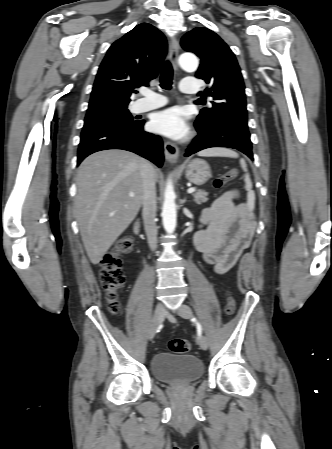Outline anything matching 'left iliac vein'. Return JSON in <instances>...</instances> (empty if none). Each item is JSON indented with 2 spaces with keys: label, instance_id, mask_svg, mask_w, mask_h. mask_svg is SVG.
Returning <instances> with one entry per match:
<instances>
[{
  "label": "left iliac vein",
  "instance_id": "left-iliac-vein-1",
  "mask_svg": "<svg viewBox=\"0 0 332 449\" xmlns=\"http://www.w3.org/2000/svg\"><path fill=\"white\" fill-rule=\"evenodd\" d=\"M177 313L179 316L185 319H190L192 316V310L189 306L182 304L177 310ZM198 344L201 347V349L206 350L208 348V341L205 336H199L198 337Z\"/></svg>",
  "mask_w": 332,
  "mask_h": 449
}]
</instances>
